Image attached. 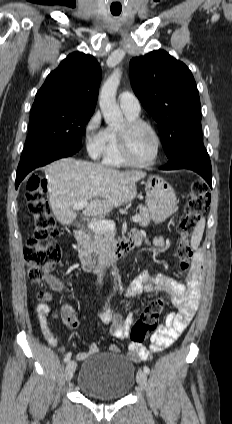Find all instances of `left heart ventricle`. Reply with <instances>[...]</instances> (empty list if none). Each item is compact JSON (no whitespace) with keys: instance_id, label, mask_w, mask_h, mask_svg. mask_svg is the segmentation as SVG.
Segmentation results:
<instances>
[{"instance_id":"obj_1","label":"left heart ventricle","mask_w":232,"mask_h":424,"mask_svg":"<svg viewBox=\"0 0 232 424\" xmlns=\"http://www.w3.org/2000/svg\"><path fill=\"white\" fill-rule=\"evenodd\" d=\"M123 127L124 125L121 128ZM155 149V137L148 129L139 128L131 134L129 139V151L133 160L137 162L148 161L153 157Z\"/></svg>"}]
</instances>
